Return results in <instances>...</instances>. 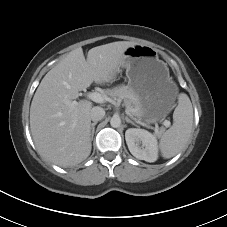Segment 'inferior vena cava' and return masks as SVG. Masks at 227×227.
<instances>
[{"mask_svg": "<svg viewBox=\"0 0 227 227\" xmlns=\"http://www.w3.org/2000/svg\"><path fill=\"white\" fill-rule=\"evenodd\" d=\"M105 116V110L99 106H95L90 111V118L92 121H99Z\"/></svg>", "mask_w": 227, "mask_h": 227, "instance_id": "1", "label": "inferior vena cava"}]
</instances>
